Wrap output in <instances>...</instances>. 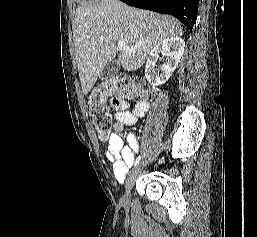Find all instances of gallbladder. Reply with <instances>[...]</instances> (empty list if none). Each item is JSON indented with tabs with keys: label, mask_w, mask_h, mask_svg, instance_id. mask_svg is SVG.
<instances>
[{
	"label": "gallbladder",
	"mask_w": 257,
	"mask_h": 237,
	"mask_svg": "<svg viewBox=\"0 0 257 237\" xmlns=\"http://www.w3.org/2000/svg\"><path fill=\"white\" fill-rule=\"evenodd\" d=\"M120 69V64L117 60H112L103 68L102 72L99 75L101 81H106L109 78L113 77L118 73Z\"/></svg>",
	"instance_id": "obj_1"
}]
</instances>
